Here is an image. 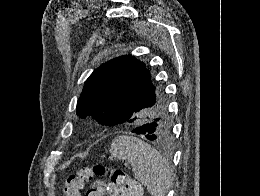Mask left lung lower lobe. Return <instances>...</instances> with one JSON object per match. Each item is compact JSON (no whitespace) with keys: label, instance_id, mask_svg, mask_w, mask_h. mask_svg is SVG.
Masks as SVG:
<instances>
[{"label":"left lung lower lobe","instance_id":"obj_1","mask_svg":"<svg viewBox=\"0 0 260 196\" xmlns=\"http://www.w3.org/2000/svg\"><path fill=\"white\" fill-rule=\"evenodd\" d=\"M134 108L118 106L110 107L98 117V121L104 125H117L128 121L134 114ZM154 124L151 122L144 123L132 129L133 133L144 135L147 139L152 140V131Z\"/></svg>","mask_w":260,"mask_h":196}]
</instances>
